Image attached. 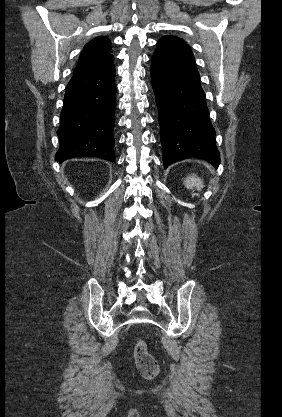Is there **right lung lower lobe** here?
<instances>
[{"label":"right lung lower lobe","mask_w":282,"mask_h":417,"mask_svg":"<svg viewBox=\"0 0 282 417\" xmlns=\"http://www.w3.org/2000/svg\"><path fill=\"white\" fill-rule=\"evenodd\" d=\"M113 61L73 74L69 81L57 131L60 147L56 161L99 157L115 163Z\"/></svg>","instance_id":"obj_1"}]
</instances>
